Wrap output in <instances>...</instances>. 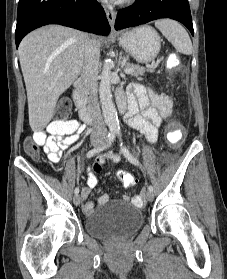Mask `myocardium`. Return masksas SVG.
Returning a JSON list of instances; mask_svg holds the SVG:
<instances>
[{
  "instance_id": "obj_1",
  "label": "myocardium",
  "mask_w": 227,
  "mask_h": 279,
  "mask_svg": "<svg viewBox=\"0 0 227 279\" xmlns=\"http://www.w3.org/2000/svg\"><path fill=\"white\" fill-rule=\"evenodd\" d=\"M127 2H132V1H134V0H126Z\"/></svg>"
}]
</instances>
